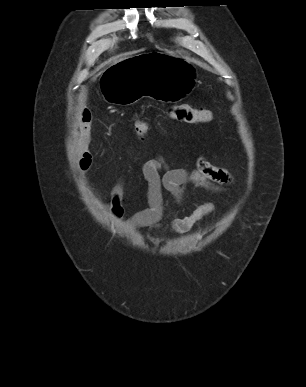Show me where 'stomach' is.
Returning a JSON list of instances; mask_svg holds the SVG:
<instances>
[{"instance_id":"0dacf381","label":"stomach","mask_w":306,"mask_h":387,"mask_svg":"<svg viewBox=\"0 0 306 387\" xmlns=\"http://www.w3.org/2000/svg\"><path fill=\"white\" fill-rule=\"evenodd\" d=\"M108 70H101L102 94L111 104L132 105L141 95L176 104L196 82L195 67L185 58L162 52L161 46H144Z\"/></svg>"}]
</instances>
